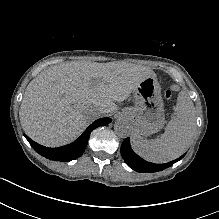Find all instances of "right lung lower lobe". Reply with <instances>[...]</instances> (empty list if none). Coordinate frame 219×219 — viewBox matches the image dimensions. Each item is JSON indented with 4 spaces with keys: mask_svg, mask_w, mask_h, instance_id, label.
Here are the masks:
<instances>
[{
    "mask_svg": "<svg viewBox=\"0 0 219 219\" xmlns=\"http://www.w3.org/2000/svg\"><path fill=\"white\" fill-rule=\"evenodd\" d=\"M111 121L112 120L110 118H101L96 120L74 142L58 148L44 147L31 140L25 134L24 136L26 137L30 145L34 148V150L38 152L40 155L44 156L45 158L54 161H70L80 157L84 153L85 148L87 146V141L93 129L99 126L107 125Z\"/></svg>",
    "mask_w": 219,
    "mask_h": 219,
    "instance_id": "right-lung-lower-lobe-1",
    "label": "right lung lower lobe"
}]
</instances>
